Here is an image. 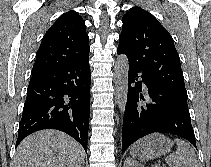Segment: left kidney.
<instances>
[{"label": "left kidney", "mask_w": 211, "mask_h": 167, "mask_svg": "<svg viewBox=\"0 0 211 167\" xmlns=\"http://www.w3.org/2000/svg\"><path fill=\"white\" fill-rule=\"evenodd\" d=\"M124 167H143V166L139 164L137 161L127 158L124 162Z\"/></svg>", "instance_id": "5707ae66"}]
</instances>
